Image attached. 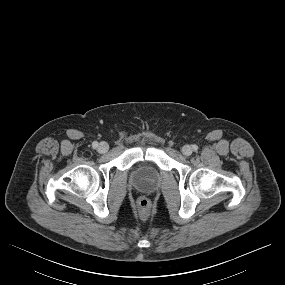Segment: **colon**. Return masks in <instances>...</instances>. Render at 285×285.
<instances>
[{
	"mask_svg": "<svg viewBox=\"0 0 285 285\" xmlns=\"http://www.w3.org/2000/svg\"><path fill=\"white\" fill-rule=\"evenodd\" d=\"M150 207H151V204L147 198L141 197L138 200V209L142 215L148 214V212L150 211Z\"/></svg>",
	"mask_w": 285,
	"mask_h": 285,
	"instance_id": "colon-1",
	"label": "colon"
}]
</instances>
